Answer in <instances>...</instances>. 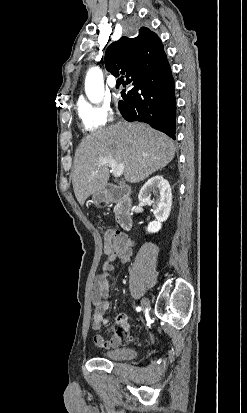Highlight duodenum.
I'll return each instance as SVG.
<instances>
[{"label":"duodenum","mask_w":247,"mask_h":413,"mask_svg":"<svg viewBox=\"0 0 247 413\" xmlns=\"http://www.w3.org/2000/svg\"><path fill=\"white\" fill-rule=\"evenodd\" d=\"M104 193L107 201L115 203V217L119 226L125 230L131 229L133 219L130 213L132 200L129 188L108 184L104 188Z\"/></svg>","instance_id":"410a0bca"}]
</instances>
